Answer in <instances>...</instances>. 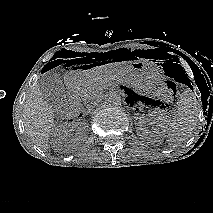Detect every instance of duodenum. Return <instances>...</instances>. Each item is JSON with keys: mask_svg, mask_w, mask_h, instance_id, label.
<instances>
[{"mask_svg": "<svg viewBox=\"0 0 213 213\" xmlns=\"http://www.w3.org/2000/svg\"><path fill=\"white\" fill-rule=\"evenodd\" d=\"M88 108H89V106L85 107L84 109H88ZM81 115H82V112H77L75 116L78 118V117H80Z\"/></svg>", "mask_w": 213, "mask_h": 213, "instance_id": "duodenum-1", "label": "duodenum"}]
</instances>
